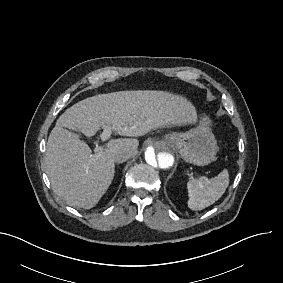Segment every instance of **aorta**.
I'll list each match as a JSON object with an SVG mask.
<instances>
[{"instance_id": "obj_1", "label": "aorta", "mask_w": 283, "mask_h": 283, "mask_svg": "<svg viewBox=\"0 0 283 283\" xmlns=\"http://www.w3.org/2000/svg\"><path fill=\"white\" fill-rule=\"evenodd\" d=\"M145 162L148 168L158 174H165L175 164V154L172 147L165 141H152L145 150Z\"/></svg>"}]
</instances>
